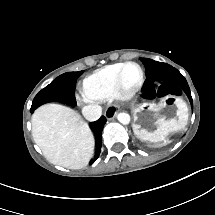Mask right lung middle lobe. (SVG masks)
I'll list each match as a JSON object with an SVG mask.
<instances>
[{"label":"right lung middle lobe","mask_w":215,"mask_h":215,"mask_svg":"<svg viewBox=\"0 0 215 215\" xmlns=\"http://www.w3.org/2000/svg\"><path fill=\"white\" fill-rule=\"evenodd\" d=\"M82 73L83 71L68 72L57 77L52 83L46 86L35 96L30 111L33 112L40 105L52 101H58L70 106H75V84L77 78Z\"/></svg>","instance_id":"obj_1"}]
</instances>
